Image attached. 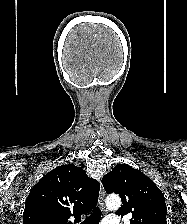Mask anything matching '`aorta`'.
I'll return each mask as SVG.
<instances>
[{"instance_id":"aorta-1","label":"aorta","mask_w":187,"mask_h":224,"mask_svg":"<svg viewBox=\"0 0 187 224\" xmlns=\"http://www.w3.org/2000/svg\"><path fill=\"white\" fill-rule=\"evenodd\" d=\"M106 206L111 210H117L121 206V199L116 196H109L106 199Z\"/></svg>"}]
</instances>
